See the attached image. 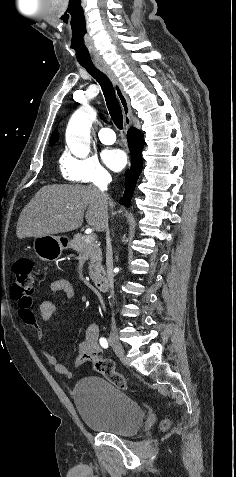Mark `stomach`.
<instances>
[{"mask_svg": "<svg viewBox=\"0 0 236 477\" xmlns=\"http://www.w3.org/2000/svg\"><path fill=\"white\" fill-rule=\"evenodd\" d=\"M69 243L66 239L59 236H40L34 240V250L36 255L43 261H55L60 258L63 250L70 246Z\"/></svg>", "mask_w": 236, "mask_h": 477, "instance_id": "stomach-1", "label": "stomach"}]
</instances>
